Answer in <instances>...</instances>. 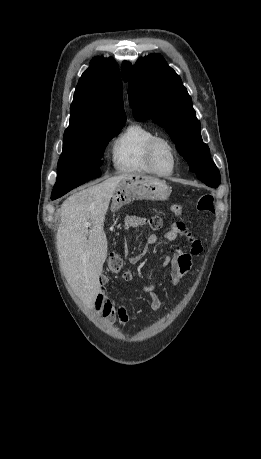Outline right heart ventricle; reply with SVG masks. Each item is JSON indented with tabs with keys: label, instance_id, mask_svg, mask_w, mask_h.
<instances>
[{
	"label": "right heart ventricle",
	"instance_id": "1",
	"mask_svg": "<svg viewBox=\"0 0 261 459\" xmlns=\"http://www.w3.org/2000/svg\"><path fill=\"white\" fill-rule=\"evenodd\" d=\"M155 136V131L146 125L134 123L127 126L112 144L115 169L123 174L152 173L146 160V148Z\"/></svg>",
	"mask_w": 261,
	"mask_h": 459
}]
</instances>
